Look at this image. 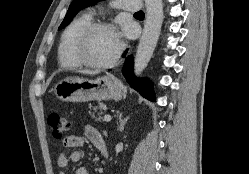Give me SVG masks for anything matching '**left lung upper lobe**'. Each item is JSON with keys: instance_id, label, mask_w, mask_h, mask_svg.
Segmentation results:
<instances>
[{"instance_id": "left-lung-upper-lobe-1", "label": "left lung upper lobe", "mask_w": 249, "mask_h": 174, "mask_svg": "<svg viewBox=\"0 0 249 174\" xmlns=\"http://www.w3.org/2000/svg\"><path fill=\"white\" fill-rule=\"evenodd\" d=\"M99 0H73L67 14L61 23L59 30L66 27L71 21L72 18L83 8L88 7L89 5H93L94 3L98 2Z\"/></svg>"}]
</instances>
